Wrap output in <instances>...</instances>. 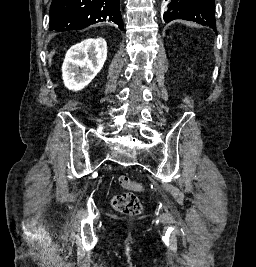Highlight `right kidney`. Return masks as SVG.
Listing matches in <instances>:
<instances>
[{
	"label": "right kidney",
	"instance_id": "ca27d5eb",
	"mask_svg": "<svg viewBox=\"0 0 256 267\" xmlns=\"http://www.w3.org/2000/svg\"><path fill=\"white\" fill-rule=\"evenodd\" d=\"M106 58L107 44L103 38H88L71 46L62 66L66 88L73 92L83 90L102 70Z\"/></svg>",
	"mask_w": 256,
	"mask_h": 267
}]
</instances>
